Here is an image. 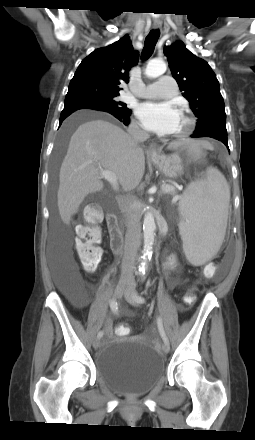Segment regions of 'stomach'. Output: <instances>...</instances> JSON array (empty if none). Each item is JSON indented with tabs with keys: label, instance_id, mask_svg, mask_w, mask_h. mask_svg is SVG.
<instances>
[{
	"label": "stomach",
	"instance_id": "0dacf381",
	"mask_svg": "<svg viewBox=\"0 0 255 440\" xmlns=\"http://www.w3.org/2000/svg\"><path fill=\"white\" fill-rule=\"evenodd\" d=\"M150 160L169 178H177L183 172V162L178 154L151 156Z\"/></svg>",
	"mask_w": 255,
	"mask_h": 440
}]
</instances>
